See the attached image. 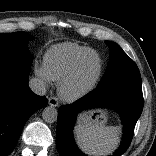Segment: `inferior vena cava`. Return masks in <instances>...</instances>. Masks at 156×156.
I'll return each instance as SVG.
<instances>
[{"label": "inferior vena cava", "instance_id": "inferior-vena-cava-1", "mask_svg": "<svg viewBox=\"0 0 156 156\" xmlns=\"http://www.w3.org/2000/svg\"><path fill=\"white\" fill-rule=\"evenodd\" d=\"M29 87L37 95H45L46 94V83L40 78L30 79Z\"/></svg>", "mask_w": 156, "mask_h": 156}]
</instances>
